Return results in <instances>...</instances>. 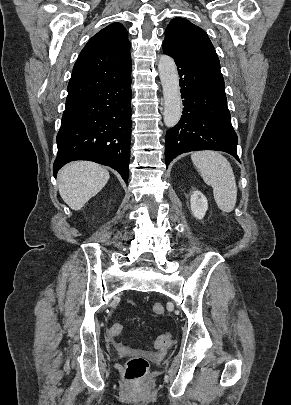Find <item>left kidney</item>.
I'll return each mask as SVG.
<instances>
[{
  "instance_id": "obj_1",
  "label": "left kidney",
  "mask_w": 291,
  "mask_h": 405,
  "mask_svg": "<svg viewBox=\"0 0 291 405\" xmlns=\"http://www.w3.org/2000/svg\"><path fill=\"white\" fill-rule=\"evenodd\" d=\"M191 211L194 217L201 220L204 218L208 209L206 197L198 190H195L190 198Z\"/></svg>"
}]
</instances>
